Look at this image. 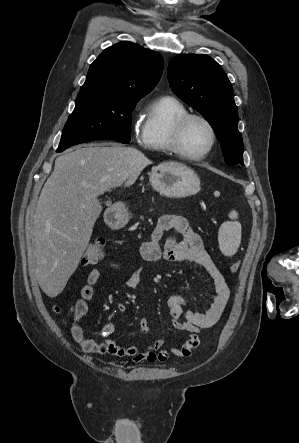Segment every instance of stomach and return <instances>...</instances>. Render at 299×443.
<instances>
[{"label": "stomach", "instance_id": "obj_1", "mask_svg": "<svg viewBox=\"0 0 299 443\" xmlns=\"http://www.w3.org/2000/svg\"><path fill=\"white\" fill-rule=\"evenodd\" d=\"M149 181L154 190L170 198L187 197L196 194L200 189L198 175L187 166L174 162L154 167ZM128 220L127 210L119 206L109 224L113 228H121Z\"/></svg>", "mask_w": 299, "mask_h": 443}]
</instances>
